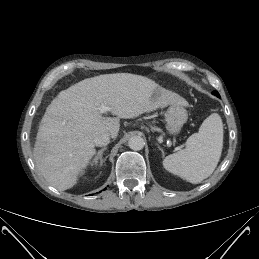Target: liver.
Listing matches in <instances>:
<instances>
[{
	"label": "liver",
	"mask_w": 259,
	"mask_h": 259,
	"mask_svg": "<svg viewBox=\"0 0 259 259\" xmlns=\"http://www.w3.org/2000/svg\"><path fill=\"white\" fill-rule=\"evenodd\" d=\"M116 117H104L101 105ZM187 106L180 95L130 73L84 79L61 91L40 122L33 156L45 180L59 191L72 188L96 154L94 138H116L120 118L130 119L168 105Z\"/></svg>",
	"instance_id": "liver-1"
}]
</instances>
